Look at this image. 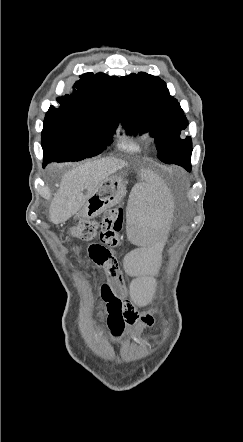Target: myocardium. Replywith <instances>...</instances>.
<instances>
[{"label":"myocardium","mask_w":243,"mask_h":442,"mask_svg":"<svg viewBox=\"0 0 243 442\" xmlns=\"http://www.w3.org/2000/svg\"><path fill=\"white\" fill-rule=\"evenodd\" d=\"M149 138H150V139H153L154 137H153L152 135H149Z\"/></svg>","instance_id":"f54148a6"}]
</instances>
